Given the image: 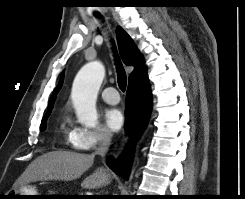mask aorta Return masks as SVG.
I'll return each mask as SVG.
<instances>
[{"mask_svg": "<svg viewBox=\"0 0 245 199\" xmlns=\"http://www.w3.org/2000/svg\"><path fill=\"white\" fill-rule=\"evenodd\" d=\"M104 76L102 63L93 61L83 66L75 77L71 98L82 125L93 127L97 123L96 99Z\"/></svg>", "mask_w": 245, "mask_h": 199, "instance_id": "1", "label": "aorta"}]
</instances>
